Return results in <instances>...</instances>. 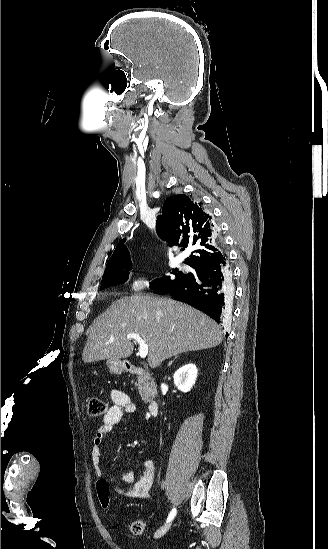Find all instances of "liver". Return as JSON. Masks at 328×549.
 <instances>
[{
    "instance_id": "6515ba94",
    "label": "liver",
    "mask_w": 328,
    "mask_h": 549,
    "mask_svg": "<svg viewBox=\"0 0 328 549\" xmlns=\"http://www.w3.org/2000/svg\"><path fill=\"white\" fill-rule=\"evenodd\" d=\"M88 333L82 353L84 363L130 357L134 345L126 335L136 333L149 347L148 363L152 369L179 353L211 349L222 343L217 323L205 313L180 301L151 295L114 301L93 321Z\"/></svg>"
}]
</instances>
